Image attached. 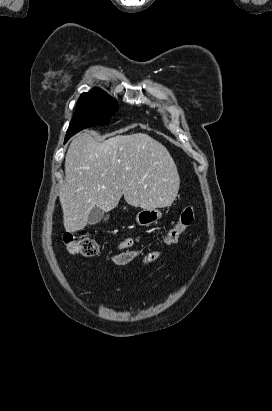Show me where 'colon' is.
I'll return each instance as SVG.
<instances>
[{
	"label": "colon",
	"mask_w": 272,
	"mask_h": 411,
	"mask_svg": "<svg viewBox=\"0 0 272 411\" xmlns=\"http://www.w3.org/2000/svg\"><path fill=\"white\" fill-rule=\"evenodd\" d=\"M195 218L194 208L188 206L181 212L180 218L176 225L166 234L164 242L166 244H175L179 241L181 235L193 224ZM63 243L71 254L81 255L83 257H93L99 252L97 241L89 236L76 237L71 232H65L62 235ZM138 251H125L116 255L113 262L116 265H125L129 263Z\"/></svg>",
	"instance_id": "5ec220e1"
}]
</instances>
